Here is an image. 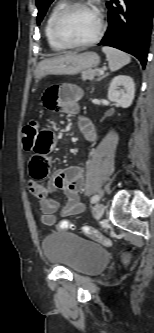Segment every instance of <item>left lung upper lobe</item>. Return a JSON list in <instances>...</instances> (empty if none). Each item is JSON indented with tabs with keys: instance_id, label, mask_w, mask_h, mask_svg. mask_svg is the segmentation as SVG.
Instances as JSON below:
<instances>
[{
	"instance_id": "obj_1",
	"label": "left lung upper lobe",
	"mask_w": 154,
	"mask_h": 333,
	"mask_svg": "<svg viewBox=\"0 0 154 333\" xmlns=\"http://www.w3.org/2000/svg\"><path fill=\"white\" fill-rule=\"evenodd\" d=\"M54 0H36V5L38 8V16H37V24L39 25L42 21V18L44 17L49 5Z\"/></svg>"
}]
</instances>
